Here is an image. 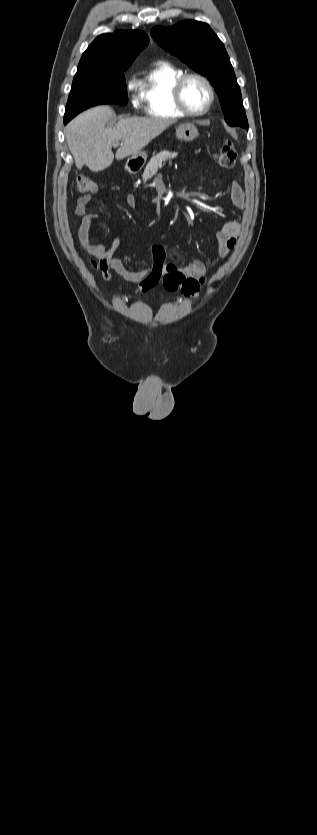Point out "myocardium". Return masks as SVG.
Here are the masks:
<instances>
[{
	"label": "myocardium",
	"mask_w": 317,
	"mask_h": 835,
	"mask_svg": "<svg viewBox=\"0 0 317 835\" xmlns=\"http://www.w3.org/2000/svg\"><path fill=\"white\" fill-rule=\"evenodd\" d=\"M190 79H199V80H201V81H202V82H203V83L207 86V88H208V90H209V94H210L209 101H208L207 105L205 106V108H204V109H202V110H200V111H193V110H191V109H190V108L186 105V103H185V101H184V89H185V86H186L187 82H188ZM215 95H216V94H215V89H214V86H213L212 82L209 80V78H208V77H206L205 75H203V74H201V73H197V72H191V73H185V74H183V75H182V76H181V77L177 80V82H176V84H175V86H174V88H173V96H174V100H175V104H176V106L178 107V109H179V110H180V111H181L184 115H187V116H192V117L202 116V115H205L206 113H208V112H209V110L211 109V107H212V105H213L214 101H215Z\"/></svg>",
	"instance_id": "obj_1"
}]
</instances>
